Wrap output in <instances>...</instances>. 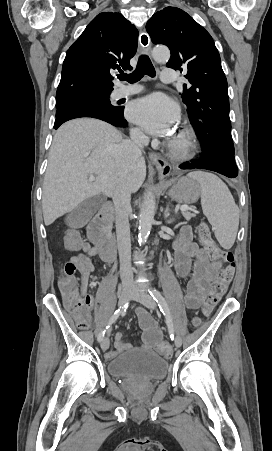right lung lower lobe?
<instances>
[{
  "label": "right lung lower lobe",
  "instance_id": "98d812e1",
  "mask_svg": "<svg viewBox=\"0 0 272 451\" xmlns=\"http://www.w3.org/2000/svg\"><path fill=\"white\" fill-rule=\"evenodd\" d=\"M81 117H92L97 118L103 121H106L114 126L117 127H124L127 125V121L124 119L123 116V108L121 107V111L117 114L107 115L103 113H99L97 111L93 110H87V109H81V110H75L68 112L60 117H57L55 120L54 128L57 129L61 124L64 122L75 119V118H81Z\"/></svg>",
  "mask_w": 272,
  "mask_h": 451
}]
</instances>
